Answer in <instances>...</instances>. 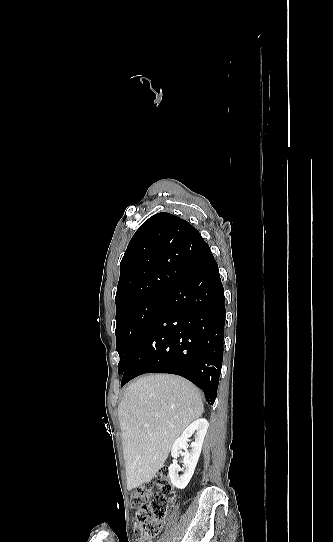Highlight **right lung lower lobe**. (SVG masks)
<instances>
[{"instance_id": "1", "label": "right lung lower lobe", "mask_w": 333, "mask_h": 542, "mask_svg": "<svg viewBox=\"0 0 333 542\" xmlns=\"http://www.w3.org/2000/svg\"><path fill=\"white\" fill-rule=\"evenodd\" d=\"M159 258L184 277L168 292L145 329L121 387L144 373L183 376L213 404L222 366L226 310L218 265L209 246L194 252L164 249Z\"/></svg>"}]
</instances>
